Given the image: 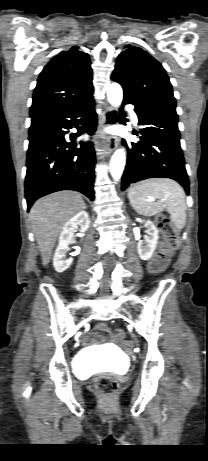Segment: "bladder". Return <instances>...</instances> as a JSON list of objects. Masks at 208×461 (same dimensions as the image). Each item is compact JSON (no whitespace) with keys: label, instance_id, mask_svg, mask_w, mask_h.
<instances>
[{"label":"bladder","instance_id":"obj_1","mask_svg":"<svg viewBox=\"0 0 208 461\" xmlns=\"http://www.w3.org/2000/svg\"><path fill=\"white\" fill-rule=\"evenodd\" d=\"M82 356L84 357V356H85V354L83 353V354H82ZM89 360H90V359H88V358H85V357H84V359H83V361H84V362H85V361L87 362V361H89ZM115 370H116V371H118V370H120V368H118V367H115Z\"/></svg>","mask_w":208,"mask_h":461}]
</instances>
